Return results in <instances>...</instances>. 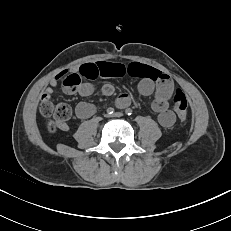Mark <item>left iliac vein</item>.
<instances>
[{
	"label": "left iliac vein",
	"mask_w": 231,
	"mask_h": 231,
	"mask_svg": "<svg viewBox=\"0 0 231 231\" xmlns=\"http://www.w3.org/2000/svg\"><path fill=\"white\" fill-rule=\"evenodd\" d=\"M113 116H114V117H122V113L117 112V113H115Z\"/></svg>",
	"instance_id": "1"
}]
</instances>
